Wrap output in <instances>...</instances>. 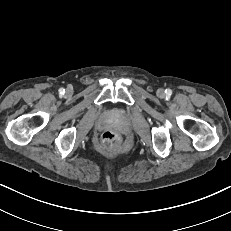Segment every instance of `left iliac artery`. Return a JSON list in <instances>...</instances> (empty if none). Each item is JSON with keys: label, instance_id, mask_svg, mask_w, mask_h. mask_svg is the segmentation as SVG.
I'll list each match as a JSON object with an SVG mask.
<instances>
[{"label": "left iliac artery", "instance_id": "left-iliac-artery-1", "mask_svg": "<svg viewBox=\"0 0 231 231\" xmlns=\"http://www.w3.org/2000/svg\"><path fill=\"white\" fill-rule=\"evenodd\" d=\"M165 93L167 96H171L172 95V90L171 89H166Z\"/></svg>", "mask_w": 231, "mask_h": 231}]
</instances>
